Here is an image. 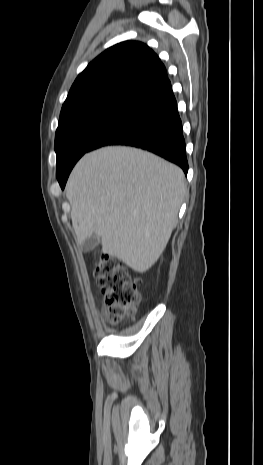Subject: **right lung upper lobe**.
I'll list each match as a JSON object with an SVG mask.
<instances>
[{
    "label": "right lung upper lobe",
    "mask_w": 263,
    "mask_h": 465,
    "mask_svg": "<svg viewBox=\"0 0 263 465\" xmlns=\"http://www.w3.org/2000/svg\"><path fill=\"white\" fill-rule=\"evenodd\" d=\"M167 80L165 66L147 45L122 42L101 53L76 78L61 113L97 98L137 99Z\"/></svg>",
    "instance_id": "right-lung-upper-lobe-1"
}]
</instances>
